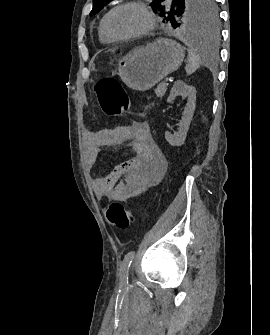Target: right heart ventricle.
<instances>
[{
  "mask_svg": "<svg viewBox=\"0 0 270 335\" xmlns=\"http://www.w3.org/2000/svg\"><path fill=\"white\" fill-rule=\"evenodd\" d=\"M98 34H99V39L102 43L108 44L111 43L113 40L107 36V34L105 33L103 26H102V22L99 25L98 28Z\"/></svg>",
  "mask_w": 270,
  "mask_h": 335,
  "instance_id": "right-heart-ventricle-1",
  "label": "right heart ventricle"
}]
</instances>
